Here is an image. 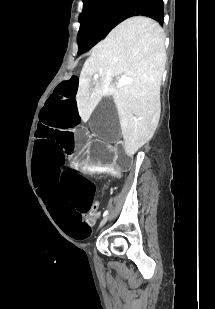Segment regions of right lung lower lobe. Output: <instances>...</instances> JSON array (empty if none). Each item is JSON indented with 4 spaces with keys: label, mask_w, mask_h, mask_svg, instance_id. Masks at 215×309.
<instances>
[{
    "label": "right lung lower lobe",
    "mask_w": 215,
    "mask_h": 309,
    "mask_svg": "<svg viewBox=\"0 0 215 309\" xmlns=\"http://www.w3.org/2000/svg\"><path fill=\"white\" fill-rule=\"evenodd\" d=\"M133 16H147L162 24L164 21L163 0H130L115 22V26Z\"/></svg>",
    "instance_id": "98d812e1"
}]
</instances>
